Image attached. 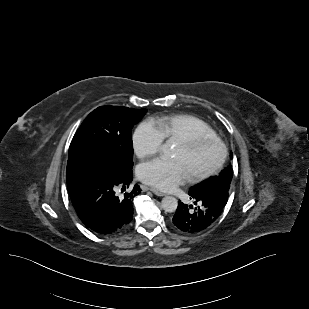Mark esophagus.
<instances>
[{
    "mask_svg": "<svg viewBox=\"0 0 309 309\" xmlns=\"http://www.w3.org/2000/svg\"><path fill=\"white\" fill-rule=\"evenodd\" d=\"M149 190L151 191V192H153L155 195H157V196H164L165 194L162 192V191H160V190H158V189H155V188H149Z\"/></svg>",
    "mask_w": 309,
    "mask_h": 309,
    "instance_id": "obj_1",
    "label": "esophagus"
}]
</instances>
